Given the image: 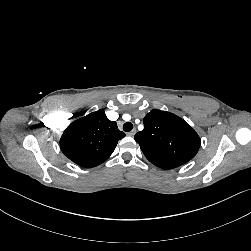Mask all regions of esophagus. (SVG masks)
<instances>
[{
  "instance_id": "esophagus-1",
  "label": "esophagus",
  "mask_w": 251,
  "mask_h": 251,
  "mask_svg": "<svg viewBox=\"0 0 251 251\" xmlns=\"http://www.w3.org/2000/svg\"><path fill=\"white\" fill-rule=\"evenodd\" d=\"M135 133H136V129H133L130 132H128V135L133 137L135 135Z\"/></svg>"
}]
</instances>
